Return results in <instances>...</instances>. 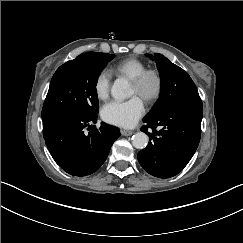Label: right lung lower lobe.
Returning a JSON list of instances; mask_svg holds the SVG:
<instances>
[{"label":"right lung lower lobe","mask_w":243,"mask_h":243,"mask_svg":"<svg viewBox=\"0 0 243 243\" xmlns=\"http://www.w3.org/2000/svg\"><path fill=\"white\" fill-rule=\"evenodd\" d=\"M97 115L88 116L76 112L62 113L43 121L45 143L55 162L73 176L94 173L106 160L111 146L120 136L118 128L101 123L99 129L89 123H96Z\"/></svg>","instance_id":"obj_1"}]
</instances>
